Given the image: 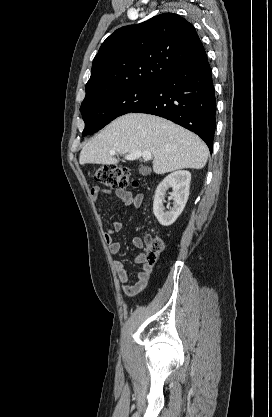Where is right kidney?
I'll list each match as a JSON object with an SVG mask.
<instances>
[{
    "label": "right kidney",
    "mask_w": 272,
    "mask_h": 417,
    "mask_svg": "<svg viewBox=\"0 0 272 417\" xmlns=\"http://www.w3.org/2000/svg\"><path fill=\"white\" fill-rule=\"evenodd\" d=\"M191 174L188 171H175L158 185L153 202V212L162 226L172 225L182 213L189 196ZM172 188L173 206L165 212L163 201L166 191Z\"/></svg>",
    "instance_id": "obj_1"
}]
</instances>
